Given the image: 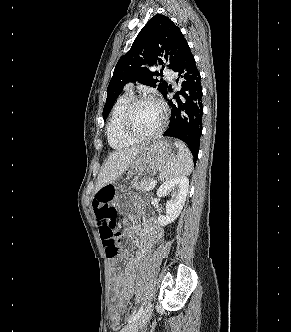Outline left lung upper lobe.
Listing matches in <instances>:
<instances>
[{"label": "left lung upper lobe", "mask_w": 291, "mask_h": 332, "mask_svg": "<svg viewBox=\"0 0 291 332\" xmlns=\"http://www.w3.org/2000/svg\"><path fill=\"white\" fill-rule=\"evenodd\" d=\"M188 45L179 27L168 17L156 14L153 16L134 40L131 49L123 55L113 73L107 88V99L103 109L105 120L109 112L128 82L142 83L157 88L163 95L168 88L166 81L155 79L161 73L152 72L151 67L167 63L169 69H174L180 62ZM163 68L161 72L163 71ZM199 142L190 149H199Z\"/></svg>", "instance_id": "1"}]
</instances>
